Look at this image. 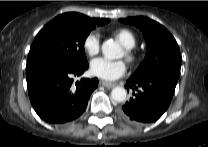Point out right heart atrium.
I'll return each instance as SVG.
<instances>
[{
	"mask_svg": "<svg viewBox=\"0 0 208 147\" xmlns=\"http://www.w3.org/2000/svg\"><path fill=\"white\" fill-rule=\"evenodd\" d=\"M100 46V36L96 32L89 33L83 41L84 50L89 56H94L98 54V52L100 51Z\"/></svg>",
	"mask_w": 208,
	"mask_h": 147,
	"instance_id": "1",
	"label": "right heart atrium"
}]
</instances>
